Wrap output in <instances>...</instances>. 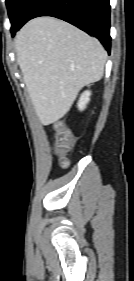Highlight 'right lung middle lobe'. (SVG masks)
<instances>
[{
  "instance_id": "1",
  "label": "right lung middle lobe",
  "mask_w": 134,
  "mask_h": 281,
  "mask_svg": "<svg viewBox=\"0 0 134 281\" xmlns=\"http://www.w3.org/2000/svg\"><path fill=\"white\" fill-rule=\"evenodd\" d=\"M30 0H6L9 19L11 21V33L14 32L23 19L24 10Z\"/></svg>"
}]
</instances>
